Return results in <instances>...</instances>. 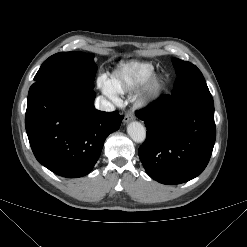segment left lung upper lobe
<instances>
[{
    "label": "left lung upper lobe",
    "instance_id": "obj_1",
    "mask_svg": "<svg viewBox=\"0 0 247 247\" xmlns=\"http://www.w3.org/2000/svg\"><path fill=\"white\" fill-rule=\"evenodd\" d=\"M177 78L171 95L183 94L197 90H208L200 70L190 62L172 58Z\"/></svg>",
    "mask_w": 247,
    "mask_h": 247
}]
</instances>
